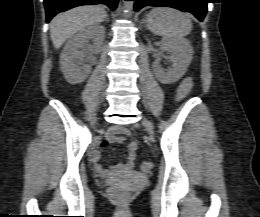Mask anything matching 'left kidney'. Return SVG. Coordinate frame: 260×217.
Here are the masks:
<instances>
[{"label": "left kidney", "mask_w": 260, "mask_h": 217, "mask_svg": "<svg viewBox=\"0 0 260 217\" xmlns=\"http://www.w3.org/2000/svg\"><path fill=\"white\" fill-rule=\"evenodd\" d=\"M161 50L171 54L172 67L163 69L160 60L153 63V71L157 80L163 84L177 82L187 71L191 63L193 49L189 42L178 38H164L161 43Z\"/></svg>", "instance_id": "1"}]
</instances>
